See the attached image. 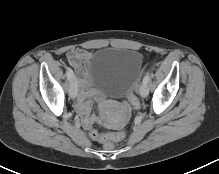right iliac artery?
I'll return each instance as SVG.
<instances>
[{
    "label": "right iliac artery",
    "mask_w": 219,
    "mask_h": 174,
    "mask_svg": "<svg viewBox=\"0 0 219 174\" xmlns=\"http://www.w3.org/2000/svg\"><path fill=\"white\" fill-rule=\"evenodd\" d=\"M66 75L69 81H72L73 79V71L71 68L67 67L66 68Z\"/></svg>",
    "instance_id": "obj_1"
}]
</instances>
